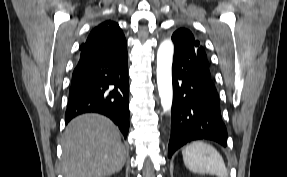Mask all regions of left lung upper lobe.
Masks as SVG:
<instances>
[{"mask_svg":"<svg viewBox=\"0 0 287 177\" xmlns=\"http://www.w3.org/2000/svg\"><path fill=\"white\" fill-rule=\"evenodd\" d=\"M172 40L175 46V53L181 55L186 62L195 65L202 71L209 74V61L203 45L194 38L191 31L178 29L173 35Z\"/></svg>","mask_w":287,"mask_h":177,"instance_id":"left-lung-upper-lobe-1","label":"left lung upper lobe"}]
</instances>
